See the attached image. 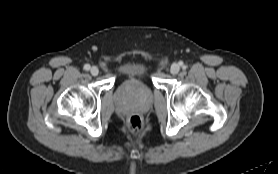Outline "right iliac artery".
<instances>
[{"label":"right iliac artery","mask_w":278,"mask_h":174,"mask_svg":"<svg viewBox=\"0 0 278 174\" xmlns=\"http://www.w3.org/2000/svg\"><path fill=\"white\" fill-rule=\"evenodd\" d=\"M90 69V65L89 64H85L84 65V70L88 71Z\"/></svg>","instance_id":"82829eb1"}]
</instances>
